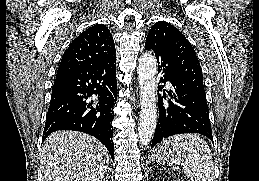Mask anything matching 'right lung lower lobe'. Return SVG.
<instances>
[{"mask_svg": "<svg viewBox=\"0 0 259 181\" xmlns=\"http://www.w3.org/2000/svg\"><path fill=\"white\" fill-rule=\"evenodd\" d=\"M115 75L116 58L56 76L42 142L54 131H81L100 140L114 159L111 122L117 98ZM92 95L98 99L93 100Z\"/></svg>", "mask_w": 259, "mask_h": 181, "instance_id": "1", "label": "right lung lower lobe"}]
</instances>
